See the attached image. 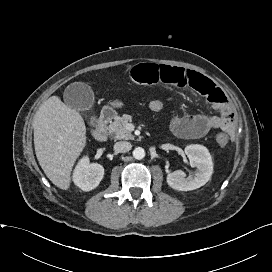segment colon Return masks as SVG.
<instances>
[{"label": "colon", "mask_w": 272, "mask_h": 272, "mask_svg": "<svg viewBox=\"0 0 272 272\" xmlns=\"http://www.w3.org/2000/svg\"><path fill=\"white\" fill-rule=\"evenodd\" d=\"M164 106L165 104L161 100H150L147 102V107L151 111H160L164 108ZM216 142L221 146H225L229 142V137L225 133H219L216 136Z\"/></svg>", "instance_id": "colon-1"}]
</instances>
